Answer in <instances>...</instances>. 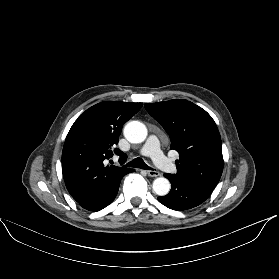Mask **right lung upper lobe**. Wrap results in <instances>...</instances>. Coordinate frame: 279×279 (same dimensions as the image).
<instances>
[{
  "instance_id": "obj_1",
  "label": "right lung upper lobe",
  "mask_w": 279,
  "mask_h": 279,
  "mask_svg": "<svg viewBox=\"0 0 279 279\" xmlns=\"http://www.w3.org/2000/svg\"><path fill=\"white\" fill-rule=\"evenodd\" d=\"M142 103L106 101L87 109L72 125L62 151V172L71 196L84 204L102 197L132 169L105 165L115 148L123 124L134 116Z\"/></svg>"
}]
</instances>
